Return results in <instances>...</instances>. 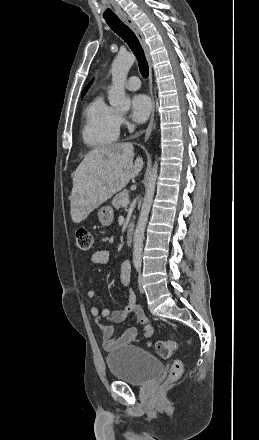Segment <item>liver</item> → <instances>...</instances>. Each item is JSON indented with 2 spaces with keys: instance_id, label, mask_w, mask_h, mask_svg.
Here are the masks:
<instances>
[{
  "instance_id": "liver-1",
  "label": "liver",
  "mask_w": 259,
  "mask_h": 440,
  "mask_svg": "<svg viewBox=\"0 0 259 440\" xmlns=\"http://www.w3.org/2000/svg\"><path fill=\"white\" fill-rule=\"evenodd\" d=\"M144 165L131 143H116L90 151L75 171L70 196L71 217L80 223L102 203L122 190Z\"/></svg>"
}]
</instances>
